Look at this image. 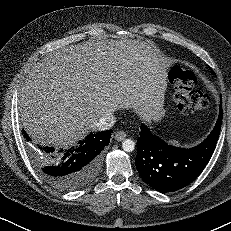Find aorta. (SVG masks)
<instances>
[{
	"label": "aorta",
	"mask_w": 231,
	"mask_h": 231,
	"mask_svg": "<svg viewBox=\"0 0 231 231\" xmlns=\"http://www.w3.org/2000/svg\"><path fill=\"white\" fill-rule=\"evenodd\" d=\"M122 148L126 152H132L135 149V143L131 139H126L122 142Z\"/></svg>",
	"instance_id": "aorta-1"
}]
</instances>
